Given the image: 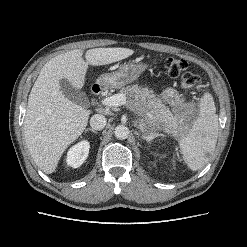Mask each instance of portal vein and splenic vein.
Masks as SVG:
<instances>
[{
    "label": "portal vein and splenic vein",
    "mask_w": 247,
    "mask_h": 247,
    "mask_svg": "<svg viewBox=\"0 0 247 247\" xmlns=\"http://www.w3.org/2000/svg\"><path fill=\"white\" fill-rule=\"evenodd\" d=\"M101 103L107 107H118L126 103V97L123 94H115L104 98Z\"/></svg>",
    "instance_id": "obj_1"
}]
</instances>
